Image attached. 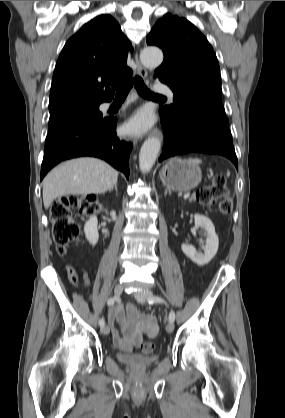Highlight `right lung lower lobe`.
Wrapping results in <instances>:
<instances>
[{
  "label": "right lung lower lobe",
  "instance_id": "1",
  "mask_svg": "<svg viewBox=\"0 0 285 418\" xmlns=\"http://www.w3.org/2000/svg\"><path fill=\"white\" fill-rule=\"evenodd\" d=\"M116 119L73 123L48 134L41 166V180L63 160L93 156L101 158L129 178L132 143L116 135Z\"/></svg>",
  "mask_w": 285,
  "mask_h": 418
}]
</instances>
